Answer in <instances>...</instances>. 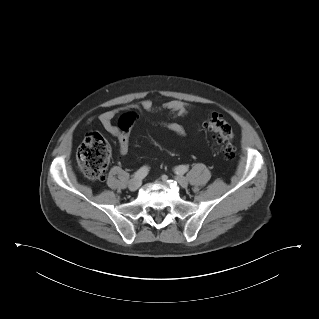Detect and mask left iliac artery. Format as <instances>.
<instances>
[{
	"label": "left iliac artery",
	"instance_id": "44dca946",
	"mask_svg": "<svg viewBox=\"0 0 319 319\" xmlns=\"http://www.w3.org/2000/svg\"><path fill=\"white\" fill-rule=\"evenodd\" d=\"M177 174H184L188 171V167L185 165H180L175 168Z\"/></svg>",
	"mask_w": 319,
	"mask_h": 319
}]
</instances>
